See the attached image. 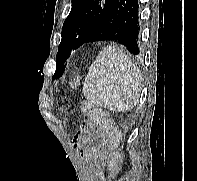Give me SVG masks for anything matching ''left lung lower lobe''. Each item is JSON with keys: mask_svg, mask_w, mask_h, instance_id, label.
<instances>
[{"mask_svg": "<svg viewBox=\"0 0 197 181\" xmlns=\"http://www.w3.org/2000/svg\"><path fill=\"white\" fill-rule=\"evenodd\" d=\"M139 32L138 0H113L89 42L114 41L124 45L130 53L138 55Z\"/></svg>", "mask_w": 197, "mask_h": 181, "instance_id": "obj_1", "label": "left lung lower lobe"}]
</instances>
